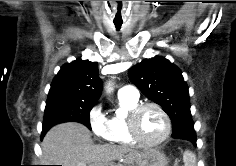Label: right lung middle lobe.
<instances>
[{
    "label": "right lung middle lobe",
    "mask_w": 236,
    "mask_h": 166,
    "mask_svg": "<svg viewBox=\"0 0 236 166\" xmlns=\"http://www.w3.org/2000/svg\"><path fill=\"white\" fill-rule=\"evenodd\" d=\"M95 102L70 98H53L46 102L43 129L47 132L52 126L62 122H79L91 129L90 110Z\"/></svg>",
    "instance_id": "dd1d6c3e"
}]
</instances>
